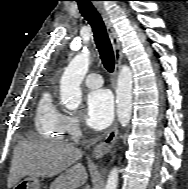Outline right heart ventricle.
<instances>
[{"label":"right heart ventricle","mask_w":188,"mask_h":189,"mask_svg":"<svg viewBox=\"0 0 188 189\" xmlns=\"http://www.w3.org/2000/svg\"><path fill=\"white\" fill-rule=\"evenodd\" d=\"M67 116L55 105L52 93L44 91L35 113L36 131L50 140H63L67 133Z\"/></svg>","instance_id":"right-heart-ventricle-1"}]
</instances>
